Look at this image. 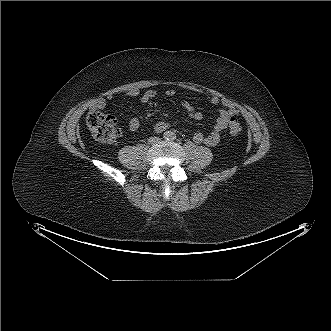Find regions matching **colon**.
Masks as SVG:
<instances>
[{
  "label": "colon",
  "instance_id": "colon-1",
  "mask_svg": "<svg viewBox=\"0 0 331 331\" xmlns=\"http://www.w3.org/2000/svg\"><path fill=\"white\" fill-rule=\"evenodd\" d=\"M86 123L93 137L100 142L112 143L120 135L115 118L96 109L87 112ZM228 131L233 136L239 135L243 131V125L233 117L229 121Z\"/></svg>",
  "mask_w": 331,
  "mask_h": 331
}]
</instances>
